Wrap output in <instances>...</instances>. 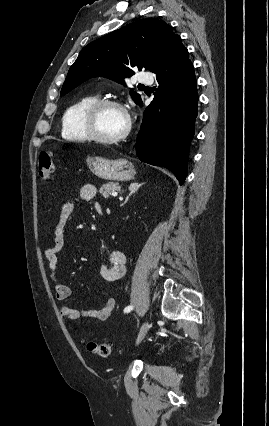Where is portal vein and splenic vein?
<instances>
[{"label":"portal vein and splenic vein","mask_w":269,"mask_h":426,"mask_svg":"<svg viewBox=\"0 0 269 426\" xmlns=\"http://www.w3.org/2000/svg\"><path fill=\"white\" fill-rule=\"evenodd\" d=\"M111 195H112L113 197H116V196H118V193L114 191V192H112V193H111Z\"/></svg>","instance_id":"obj_1"}]
</instances>
